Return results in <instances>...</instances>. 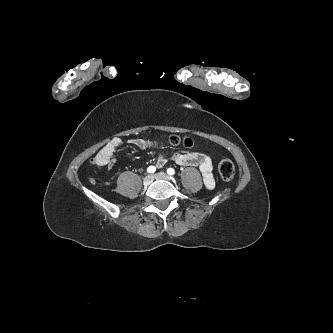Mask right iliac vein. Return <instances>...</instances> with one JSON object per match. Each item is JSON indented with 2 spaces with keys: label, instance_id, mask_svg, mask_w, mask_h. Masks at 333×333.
<instances>
[{
  "label": "right iliac vein",
  "instance_id": "right-iliac-vein-1",
  "mask_svg": "<svg viewBox=\"0 0 333 333\" xmlns=\"http://www.w3.org/2000/svg\"><path fill=\"white\" fill-rule=\"evenodd\" d=\"M153 176L152 175H147L144 179H143V184L145 186L150 185L153 182Z\"/></svg>",
  "mask_w": 333,
  "mask_h": 333
}]
</instances>
